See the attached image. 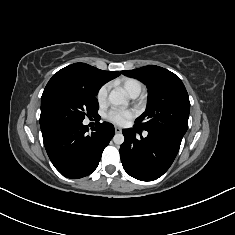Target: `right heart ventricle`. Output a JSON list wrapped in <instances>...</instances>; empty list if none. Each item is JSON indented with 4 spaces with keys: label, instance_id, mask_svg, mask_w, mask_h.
<instances>
[{
    "label": "right heart ventricle",
    "instance_id": "1",
    "mask_svg": "<svg viewBox=\"0 0 235 235\" xmlns=\"http://www.w3.org/2000/svg\"><path fill=\"white\" fill-rule=\"evenodd\" d=\"M121 83L129 95L134 92H138L140 94V92L142 90V84L136 79L125 78L122 80Z\"/></svg>",
    "mask_w": 235,
    "mask_h": 235
}]
</instances>
